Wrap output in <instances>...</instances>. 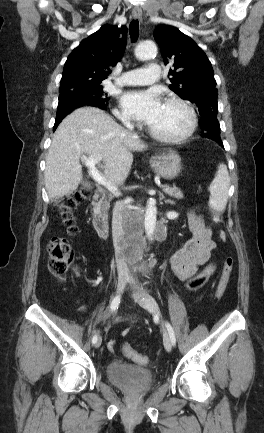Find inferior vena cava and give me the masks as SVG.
Here are the masks:
<instances>
[{
  "label": "inferior vena cava",
  "instance_id": "1",
  "mask_svg": "<svg viewBox=\"0 0 264 433\" xmlns=\"http://www.w3.org/2000/svg\"><path fill=\"white\" fill-rule=\"evenodd\" d=\"M124 125L132 130L133 126L130 124V122L125 121ZM123 207H125V203L124 202H117L114 206L112 215V233H113V237H114V241H115V245H114V252L116 254V256L119 259H122L125 255H121L117 245L119 242H124L123 238L125 237V233L122 230V220H123ZM133 252H141V251H133ZM117 268H118V276L119 278H123V279H129L130 278V271L126 265V263L124 261H118L117 264Z\"/></svg>",
  "mask_w": 264,
  "mask_h": 433
}]
</instances>
